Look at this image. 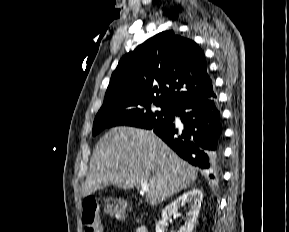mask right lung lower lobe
Instances as JSON below:
<instances>
[{
    "label": "right lung lower lobe",
    "mask_w": 289,
    "mask_h": 232,
    "mask_svg": "<svg viewBox=\"0 0 289 232\" xmlns=\"http://www.w3.org/2000/svg\"><path fill=\"white\" fill-rule=\"evenodd\" d=\"M183 128L170 123L152 128L165 143L190 164L216 170L223 160V129L216 96L191 100L175 108ZM210 178H214L210 174Z\"/></svg>",
    "instance_id": "obj_1"
}]
</instances>
